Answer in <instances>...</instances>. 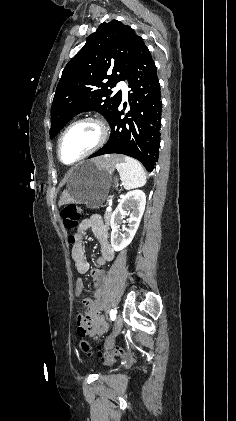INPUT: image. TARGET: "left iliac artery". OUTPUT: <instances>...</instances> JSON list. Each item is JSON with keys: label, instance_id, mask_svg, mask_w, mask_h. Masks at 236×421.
Wrapping results in <instances>:
<instances>
[{"label": "left iliac artery", "instance_id": "44dca946", "mask_svg": "<svg viewBox=\"0 0 236 421\" xmlns=\"http://www.w3.org/2000/svg\"><path fill=\"white\" fill-rule=\"evenodd\" d=\"M116 313H117V311L114 310V309H112L110 311V318H111L112 321H114L116 319Z\"/></svg>", "mask_w": 236, "mask_h": 421}]
</instances>
